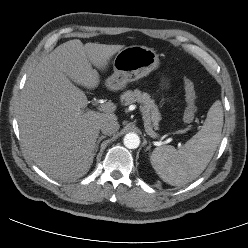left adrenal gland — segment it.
I'll return each instance as SVG.
<instances>
[{
	"label": "left adrenal gland",
	"instance_id": "1",
	"mask_svg": "<svg viewBox=\"0 0 248 248\" xmlns=\"http://www.w3.org/2000/svg\"><path fill=\"white\" fill-rule=\"evenodd\" d=\"M151 148V143L149 142V146H147L146 151L150 150Z\"/></svg>",
	"mask_w": 248,
	"mask_h": 248
}]
</instances>
